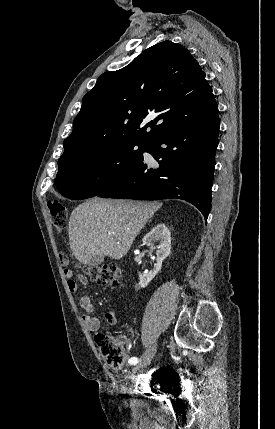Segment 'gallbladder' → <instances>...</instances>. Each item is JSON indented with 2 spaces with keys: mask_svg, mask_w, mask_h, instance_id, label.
<instances>
[{
  "mask_svg": "<svg viewBox=\"0 0 275 429\" xmlns=\"http://www.w3.org/2000/svg\"><path fill=\"white\" fill-rule=\"evenodd\" d=\"M104 255L96 254L93 255L89 261L90 266H98L104 261Z\"/></svg>",
  "mask_w": 275,
  "mask_h": 429,
  "instance_id": "bac80fb5",
  "label": "gallbladder"
}]
</instances>
